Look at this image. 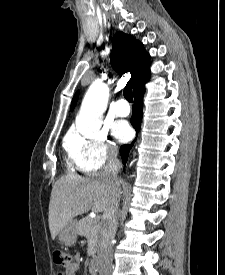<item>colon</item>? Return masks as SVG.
<instances>
[{"instance_id": "1", "label": "colon", "mask_w": 225, "mask_h": 275, "mask_svg": "<svg viewBox=\"0 0 225 275\" xmlns=\"http://www.w3.org/2000/svg\"><path fill=\"white\" fill-rule=\"evenodd\" d=\"M53 261L56 265L68 267L73 262V255L65 250H55Z\"/></svg>"}]
</instances>
